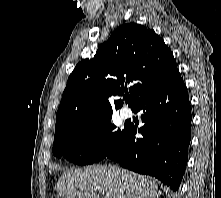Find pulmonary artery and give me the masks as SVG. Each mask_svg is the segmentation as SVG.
Returning a JSON list of instances; mask_svg holds the SVG:
<instances>
[{"instance_id":"1","label":"pulmonary artery","mask_w":221,"mask_h":198,"mask_svg":"<svg viewBox=\"0 0 221 198\" xmlns=\"http://www.w3.org/2000/svg\"><path fill=\"white\" fill-rule=\"evenodd\" d=\"M120 115L123 119H128L132 116V111L127 106H124L120 110Z\"/></svg>"}]
</instances>
